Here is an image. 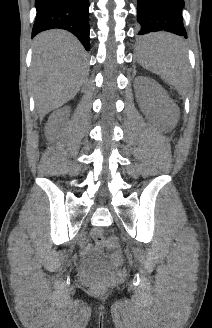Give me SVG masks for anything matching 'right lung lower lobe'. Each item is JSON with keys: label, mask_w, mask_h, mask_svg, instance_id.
<instances>
[{"label": "right lung lower lobe", "mask_w": 212, "mask_h": 328, "mask_svg": "<svg viewBox=\"0 0 212 328\" xmlns=\"http://www.w3.org/2000/svg\"><path fill=\"white\" fill-rule=\"evenodd\" d=\"M36 19L32 36L61 28L73 33L89 50V0H35Z\"/></svg>", "instance_id": "right-lung-lower-lobe-1"}]
</instances>
